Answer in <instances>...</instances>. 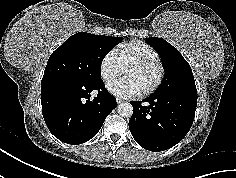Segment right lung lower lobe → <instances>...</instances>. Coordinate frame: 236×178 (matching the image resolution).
Wrapping results in <instances>:
<instances>
[{"mask_svg": "<svg viewBox=\"0 0 236 178\" xmlns=\"http://www.w3.org/2000/svg\"><path fill=\"white\" fill-rule=\"evenodd\" d=\"M93 90L98 94L90 99ZM41 104L49 131L72 145L92 139L117 105L103 81L86 84L60 78L42 80Z\"/></svg>", "mask_w": 236, "mask_h": 178, "instance_id": "right-lung-lower-lobe-1", "label": "right lung lower lobe"}]
</instances>
